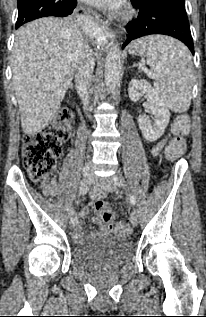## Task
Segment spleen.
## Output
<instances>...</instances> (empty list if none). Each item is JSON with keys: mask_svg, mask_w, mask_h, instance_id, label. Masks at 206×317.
<instances>
[{"mask_svg": "<svg viewBox=\"0 0 206 317\" xmlns=\"http://www.w3.org/2000/svg\"><path fill=\"white\" fill-rule=\"evenodd\" d=\"M132 55L147 57L159 76L155 91L175 112L186 111L191 103L193 63L189 50L179 41L161 35L142 37L131 43Z\"/></svg>", "mask_w": 206, "mask_h": 317, "instance_id": "1", "label": "spleen"}]
</instances>
